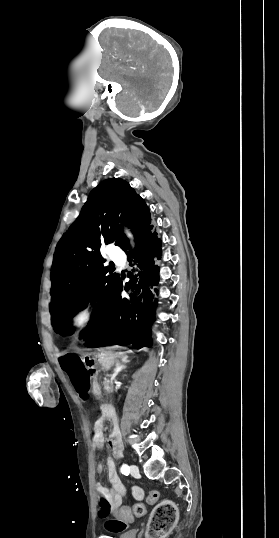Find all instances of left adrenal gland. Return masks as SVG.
<instances>
[{
    "label": "left adrenal gland",
    "instance_id": "1",
    "mask_svg": "<svg viewBox=\"0 0 279 538\" xmlns=\"http://www.w3.org/2000/svg\"><path fill=\"white\" fill-rule=\"evenodd\" d=\"M128 362V360H127ZM127 362H124V364H127ZM124 364H121V366H119L120 370L119 372H121V370H124V368H126V366H124Z\"/></svg>",
    "mask_w": 279,
    "mask_h": 538
}]
</instances>
